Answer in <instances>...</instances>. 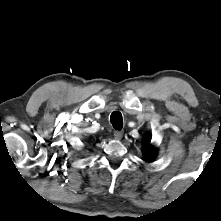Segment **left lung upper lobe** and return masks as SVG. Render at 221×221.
Returning <instances> with one entry per match:
<instances>
[{
  "label": "left lung upper lobe",
  "mask_w": 221,
  "mask_h": 221,
  "mask_svg": "<svg viewBox=\"0 0 221 221\" xmlns=\"http://www.w3.org/2000/svg\"><path fill=\"white\" fill-rule=\"evenodd\" d=\"M156 149L150 145V137L146 136L144 139V157L146 161H150L155 157Z\"/></svg>",
  "instance_id": "1"
}]
</instances>
